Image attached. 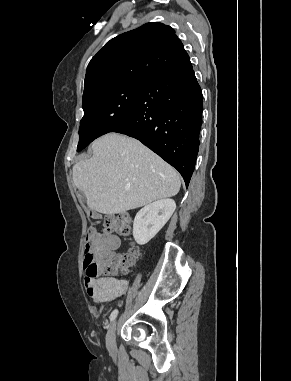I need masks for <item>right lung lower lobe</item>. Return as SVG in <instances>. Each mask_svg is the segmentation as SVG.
I'll return each instance as SVG.
<instances>
[{"instance_id": "98d812e1", "label": "right lung lower lobe", "mask_w": 291, "mask_h": 381, "mask_svg": "<svg viewBox=\"0 0 291 381\" xmlns=\"http://www.w3.org/2000/svg\"><path fill=\"white\" fill-rule=\"evenodd\" d=\"M202 91L189 55L147 79L132 116L111 132L134 137L175 167L188 187L199 149Z\"/></svg>"}]
</instances>
